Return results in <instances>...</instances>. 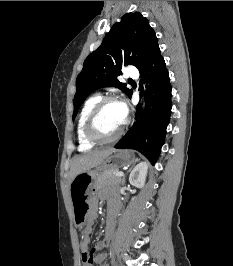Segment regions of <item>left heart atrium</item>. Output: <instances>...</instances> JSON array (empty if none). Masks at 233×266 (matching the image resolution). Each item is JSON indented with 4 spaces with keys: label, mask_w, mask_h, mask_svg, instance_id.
Here are the masks:
<instances>
[{
    "label": "left heart atrium",
    "mask_w": 233,
    "mask_h": 266,
    "mask_svg": "<svg viewBox=\"0 0 233 266\" xmlns=\"http://www.w3.org/2000/svg\"><path fill=\"white\" fill-rule=\"evenodd\" d=\"M120 110H121V115L123 122L126 120L127 115H128V106L125 102H119Z\"/></svg>",
    "instance_id": "left-heart-atrium-1"
}]
</instances>
